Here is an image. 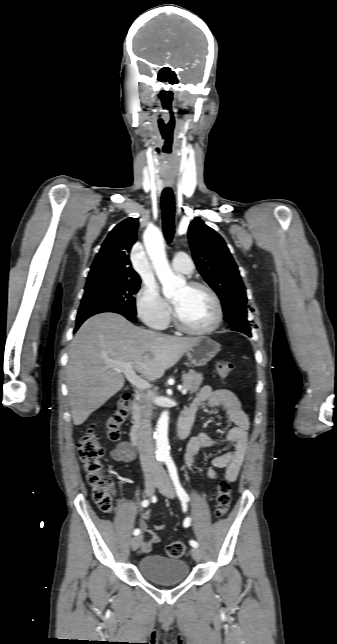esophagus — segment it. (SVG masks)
Here are the masks:
<instances>
[{
	"label": "esophagus",
	"mask_w": 337,
	"mask_h": 644,
	"mask_svg": "<svg viewBox=\"0 0 337 644\" xmlns=\"http://www.w3.org/2000/svg\"><path fill=\"white\" fill-rule=\"evenodd\" d=\"M166 185L167 186H172V182L168 181V182H166Z\"/></svg>",
	"instance_id": "34e87169"
}]
</instances>
